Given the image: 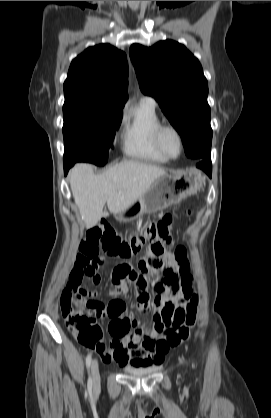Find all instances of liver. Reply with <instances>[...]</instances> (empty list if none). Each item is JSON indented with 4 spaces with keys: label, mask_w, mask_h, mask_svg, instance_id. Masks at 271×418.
<instances>
[{
    "label": "liver",
    "mask_w": 271,
    "mask_h": 418,
    "mask_svg": "<svg viewBox=\"0 0 271 418\" xmlns=\"http://www.w3.org/2000/svg\"><path fill=\"white\" fill-rule=\"evenodd\" d=\"M166 171L158 166L125 160L95 175L88 163L76 164L69 173L74 201L86 228L94 227L109 213L117 214L139 199Z\"/></svg>",
    "instance_id": "obj_1"
}]
</instances>
